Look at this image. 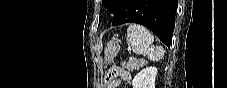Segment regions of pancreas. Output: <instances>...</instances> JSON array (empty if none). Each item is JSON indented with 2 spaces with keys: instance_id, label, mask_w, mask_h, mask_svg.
I'll list each match as a JSON object with an SVG mask.
<instances>
[{
  "instance_id": "obj_1",
  "label": "pancreas",
  "mask_w": 227,
  "mask_h": 88,
  "mask_svg": "<svg viewBox=\"0 0 227 88\" xmlns=\"http://www.w3.org/2000/svg\"><path fill=\"white\" fill-rule=\"evenodd\" d=\"M146 64V61L143 59H131L127 63H122V66H124L129 71L138 70L143 65Z\"/></svg>"
}]
</instances>
